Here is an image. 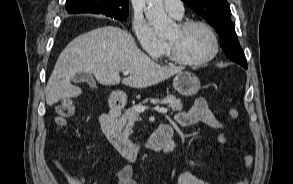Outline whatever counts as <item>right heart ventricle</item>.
Returning a JSON list of instances; mask_svg holds the SVG:
<instances>
[{
  "instance_id": "right-heart-ventricle-1",
  "label": "right heart ventricle",
  "mask_w": 293,
  "mask_h": 184,
  "mask_svg": "<svg viewBox=\"0 0 293 184\" xmlns=\"http://www.w3.org/2000/svg\"><path fill=\"white\" fill-rule=\"evenodd\" d=\"M162 55H168V53H167V46H166V48H165V50H164V52H163Z\"/></svg>"
}]
</instances>
